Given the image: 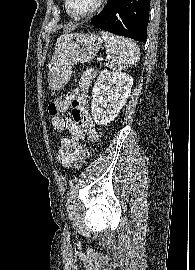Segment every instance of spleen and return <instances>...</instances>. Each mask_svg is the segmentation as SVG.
<instances>
[{"label": "spleen", "mask_w": 195, "mask_h": 270, "mask_svg": "<svg viewBox=\"0 0 195 270\" xmlns=\"http://www.w3.org/2000/svg\"><path fill=\"white\" fill-rule=\"evenodd\" d=\"M101 38L105 42L107 56H112L111 69L121 71L139 61L140 50L131 39L119 37L107 31L101 32Z\"/></svg>", "instance_id": "1"}]
</instances>
